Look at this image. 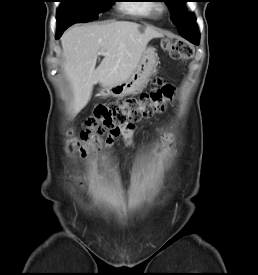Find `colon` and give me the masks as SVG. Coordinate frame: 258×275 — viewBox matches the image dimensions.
<instances>
[{
	"label": "colon",
	"instance_id": "1",
	"mask_svg": "<svg viewBox=\"0 0 258 275\" xmlns=\"http://www.w3.org/2000/svg\"><path fill=\"white\" fill-rule=\"evenodd\" d=\"M161 47L176 60H188L194 52L188 43L169 37L162 39ZM172 95L173 88L170 85L158 82L157 88L138 97L97 106L93 116L86 120V128L82 131L80 140L73 145L81 152L84 144L99 147L104 137L107 142L122 131L133 129L135 122L165 111Z\"/></svg>",
	"mask_w": 258,
	"mask_h": 275
}]
</instances>
